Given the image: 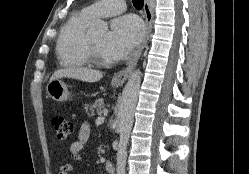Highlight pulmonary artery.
<instances>
[{"instance_id": "e3ab8cb5", "label": "pulmonary artery", "mask_w": 249, "mask_h": 174, "mask_svg": "<svg viewBox=\"0 0 249 174\" xmlns=\"http://www.w3.org/2000/svg\"><path fill=\"white\" fill-rule=\"evenodd\" d=\"M126 9L125 0H98L87 6L85 11L91 17H106L119 14Z\"/></svg>"}]
</instances>
